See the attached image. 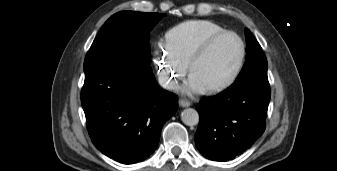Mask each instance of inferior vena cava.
<instances>
[{"label":"inferior vena cava","instance_id":"602c4592","mask_svg":"<svg viewBox=\"0 0 337 171\" xmlns=\"http://www.w3.org/2000/svg\"><path fill=\"white\" fill-rule=\"evenodd\" d=\"M159 84L165 89L175 90L178 87V82L170 80L167 74H160L158 77Z\"/></svg>","mask_w":337,"mask_h":171}]
</instances>
